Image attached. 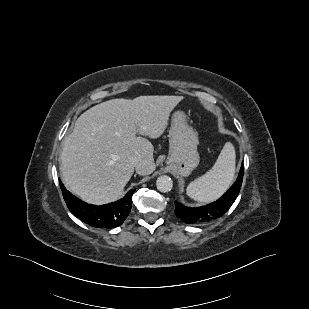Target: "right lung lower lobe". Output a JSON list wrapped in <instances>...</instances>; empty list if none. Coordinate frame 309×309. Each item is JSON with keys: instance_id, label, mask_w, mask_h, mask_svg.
Segmentation results:
<instances>
[{"instance_id": "98d812e1", "label": "right lung lower lobe", "mask_w": 309, "mask_h": 309, "mask_svg": "<svg viewBox=\"0 0 309 309\" xmlns=\"http://www.w3.org/2000/svg\"><path fill=\"white\" fill-rule=\"evenodd\" d=\"M60 188L69 210L81 221L96 228H115L127 218L132 207V195L135 189L113 203L97 206L87 204L66 190L61 180Z\"/></svg>"}]
</instances>
